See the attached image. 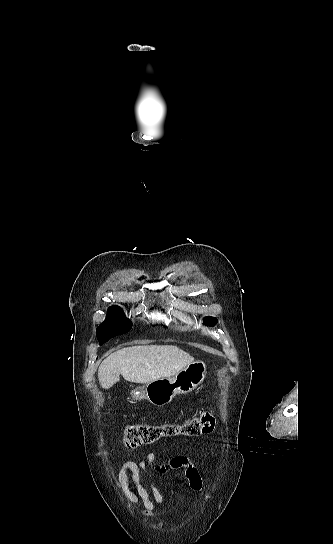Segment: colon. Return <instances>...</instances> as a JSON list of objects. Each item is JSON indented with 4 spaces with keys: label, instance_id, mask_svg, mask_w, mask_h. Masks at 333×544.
I'll return each mask as SVG.
<instances>
[{
    "label": "colon",
    "instance_id": "obj_1",
    "mask_svg": "<svg viewBox=\"0 0 333 544\" xmlns=\"http://www.w3.org/2000/svg\"><path fill=\"white\" fill-rule=\"evenodd\" d=\"M216 419L211 413H204L185 419L181 423L150 424L137 422L130 424L123 436L126 449L152 444L163 437L186 435L200 436L209 434L215 427Z\"/></svg>",
    "mask_w": 333,
    "mask_h": 544
}]
</instances>
